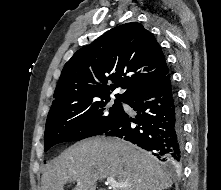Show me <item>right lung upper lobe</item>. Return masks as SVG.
<instances>
[{
	"mask_svg": "<svg viewBox=\"0 0 221 190\" xmlns=\"http://www.w3.org/2000/svg\"><path fill=\"white\" fill-rule=\"evenodd\" d=\"M169 73L154 36L137 22L117 26L79 49L65 64L50 110L109 97L126 100Z\"/></svg>",
	"mask_w": 221,
	"mask_h": 190,
	"instance_id": "obj_1",
	"label": "right lung upper lobe"
}]
</instances>
